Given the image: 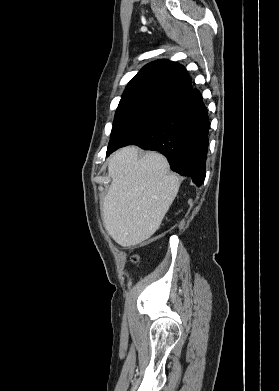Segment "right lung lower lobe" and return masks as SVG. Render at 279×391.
Masks as SVG:
<instances>
[{
    "label": "right lung lower lobe",
    "instance_id": "obj_1",
    "mask_svg": "<svg viewBox=\"0 0 279 391\" xmlns=\"http://www.w3.org/2000/svg\"><path fill=\"white\" fill-rule=\"evenodd\" d=\"M209 128L201 93L192 89L163 106L148 127L123 146L134 144L163 153L173 171L200 186L206 174Z\"/></svg>",
    "mask_w": 279,
    "mask_h": 391
}]
</instances>
